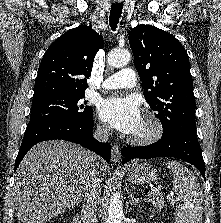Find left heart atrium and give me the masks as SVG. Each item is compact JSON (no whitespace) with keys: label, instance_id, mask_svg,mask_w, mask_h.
Returning a JSON list of instances; mask_svg holds the SVG:
<instances>
[{"label":"left heart atrium","instance_id":"39dd6f15","mask_svg":"<svg viewBox=\"0 0 221 223\" xmlns=\"http://www.w3.org/2000/svg\"><path fill=\"white\" fill-rule=\"evenodd\" d=\"M99 117L117 131L133 135L143 118L137 100L132 96H112L99 105Z\"/></svg>","mask_w":221,"mask_h":223}]
</instances>
